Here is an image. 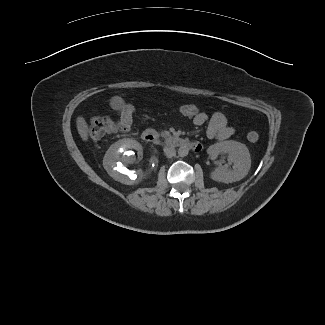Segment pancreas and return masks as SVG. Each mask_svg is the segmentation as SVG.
Segmentation results:
<instances>
[{"mask_svg":"<svg viewBox=\"0 0 325 325\" xmlns=\"http://www.w3.org/2000/svg\"><path fill=\"white\" fill-rule=\"evenodd\" d=\"M160 134L163 137H169L170 136V133L168 131H161Z\"/></svg>","mask_w":325,"mask_h":325,"instance_id":"cf45deb5","label":"pancreas"}]
</instances>
